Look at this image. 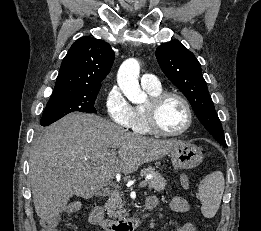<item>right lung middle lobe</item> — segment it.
Returning <instances> with one entry per match:
<instances>
[{
    "mask_svg": "<svg viewBox=\"0 0 261 231\" xmlns=\"http://www.w3.org/2000/svg\"><path fill=\"white\" fill-rule=\"evenodd\" d=\"M99 89L54 90L41 118L48 126L73 111L96 113L94 107Z\"/></svg>",
    "mask_w": 261,
    "mask_h": 231,
    "instance_id": "right-lung-middle-lobe-1",
    "label": "right lung middle lobe"
}]
</instances>
